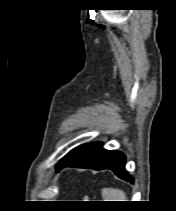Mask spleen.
I'll list each match as a JSON object with an SVG mask.
<instances>
[{
    "mask_svg": "<svg viewBox=\"0 0 176 211\" xmlns=\"http://www.w3.org/2000/svg\"><path fill=\"white\" fill-rule=\"evenodd\" d=\"M101 194L103 201H128L125 192L118 188H103Z\"/></svg>",
    "mask_w": 176,
    "mask_h": 211,
    "instance_id": "3e777b00",
    "label": "spleen"
}]
</instances>
